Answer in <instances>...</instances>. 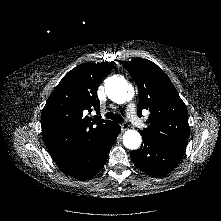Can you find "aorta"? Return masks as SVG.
<instances>
[{
    "label": "aorta",
    "mask_w": 221,
    "mask_h": 221,
    "mask_svg": "<svg viewBox=\"0 0 221 221\" xmlns=\"http://www.w3.org/2000/svg\"><path fill=\"white\" fill-rule=\"evenodd\" d=\"M105 91L109 99L117 104H123L133 92L131 86L123 77L111 76L105 80ZM141 135L138 131L130 129L123 135V144L126 148L136 150L141 144Z\"/></svg>",
    "instance_id": "obj_1"
}]
</instances>
